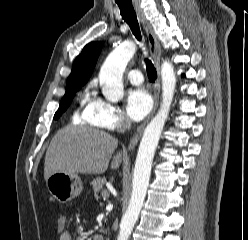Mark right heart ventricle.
Masks as SVG:
<instances>
[{"mask_svg": "<svg viewBox=\"0 0 248 240\" xmlns=\"http://www.w3.org/2000/svg\"><path fill=\"white\" fill-rule=\"evenodd\" d=\"M93 101L94 100L90 97L89 93L85 92L81 99L82 110L77 116L79 123L81 124L89 123L87 115Z\"/></svg>", "mask_w": 248, "mask_h": 240, "instance_id": "right-heart-ventricle-1", "label": "right heart ventricle"}]
</instances>
